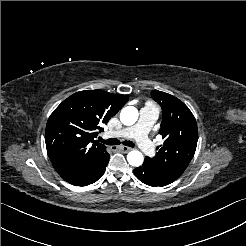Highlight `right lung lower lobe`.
<instances>
[{
    "label": "right lung lower lobe",
    "mask_w": 246,
    "mask_h": 246,
    "mask_svg": "<svg viewBox=\"0 0 246 246\" xmlns=\"http://www.w3.org/2000/svg\"><path fill=\"white\" fill-rule=\"evenodd\" d=\"M109 161L107 152L95 162L87 164H66L54 167L59 175L75 186H86L97 181L105 172Z\"/></svg>",
    "instance_id": "obj_1"
}]
</instances>
